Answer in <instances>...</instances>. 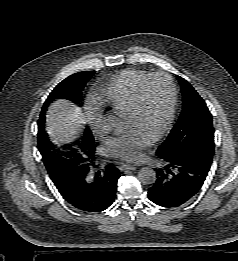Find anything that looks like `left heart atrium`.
Returning <instances> with one entry per match:
<instances>
[{
	"instance_id": "obj_1",
	"label": "left heart atrium",
	"mask_w": 238,
	"mask_h": 261,
	"mask_svg": "<svg viewBox=\"0 0 238 261\" xmlns=\"http://www.w3.org/2000/svg\"><path fill=\"white\" fill-rule=\"evenodd\" d=\"M153 137L140 127H131L110 137L106 143V150L113 157L138 162L142 159L143 150L154 141Z\"/></svg>"
}]
</instances>
